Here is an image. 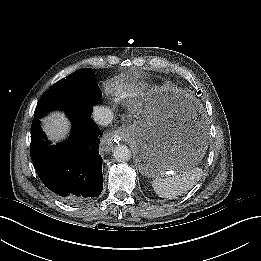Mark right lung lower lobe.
Instances as JSON below:
<instances>
[{
	"label": "right lung lower lobe",
	"instance_id": "right-lung-lower-lobe-1",
	"mask_svg": "<svg viewBox=\"0 0 261 261\" xmlns=\"http://www.w3.org/2000/svg\"><path fill=\"white\" fill-rule=\"evenodd\" d=\"M93 106L66 112L72 122L68 139L52 145L36 118L31 125V158L42 183L66 202L79 203L102 192L100 129L91 119Z\"/></svg>",
	"mask_w": 261,
	"mask_h": 261
}]
</instances>
